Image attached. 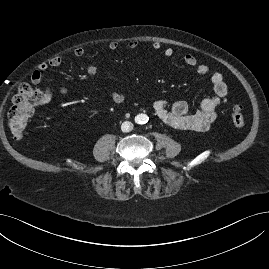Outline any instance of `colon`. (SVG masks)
<instances>
[{"label":"colon","instance_id":"obj_1","mask_svg":"<svg viewBox=\"0 0 269 269\" xmlns=\"http://www.w3.org/2000/svg\"><path fill=\"white\" fill-rule=\"evenodd\" d=\"M41 103L42 93L40 90L29 84H22L19 87L8 113V126L15 139H20L23 136L29 119ZM231 118L236 128L244 127L245 120L239 105L233 106Z\"/></svg>","mask_w":269,"mask_h":269}]
</instances>
